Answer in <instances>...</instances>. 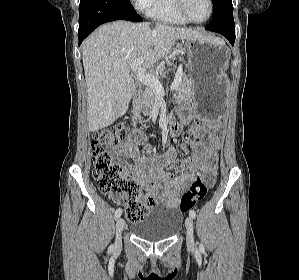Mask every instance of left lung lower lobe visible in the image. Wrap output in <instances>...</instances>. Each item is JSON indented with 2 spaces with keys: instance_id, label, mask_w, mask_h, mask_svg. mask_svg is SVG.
I'll use <instances>...</instances> for the list:
<instances>
[{
  "instance_id": "1",
  "label": "left lung lower lobe",
  "mask_w": 299,
  "mask_h": 280,
  "mask_svg": "<svg viewBox=\"0 0 299 280\" xmlns=\"http://www.w3.org/2000/svg\"><path fill=\"white\" fill-rule=\"evenodd\" d=\"M205 29L224 35L232 45L234 44L235 23L231 0H218L215 3L213 18Z\"/></svg>"
}]
</instances>
